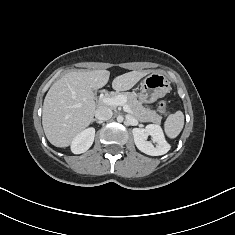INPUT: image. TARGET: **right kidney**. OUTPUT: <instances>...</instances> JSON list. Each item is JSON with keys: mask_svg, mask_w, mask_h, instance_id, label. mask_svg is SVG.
Listing matches in <instances>:
<instances>
[{"mask_svg": "<svg viewBox=\"0 0 235 235\" xmlns=\"http://www.w3.org/2000/svg\"><path fill=\"white\" fill-rule=\"evenodd\" d=\"M95 137V129L87 128L80 132L71 143V151L74 154L86 152L93 144Z\"/></svg>", "mask_w": 235, "mask_h": 235, "instance_id": "ca27d5eb", "label": "right kidney"}]
</instances>
